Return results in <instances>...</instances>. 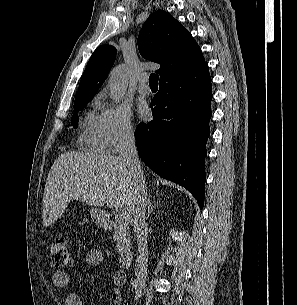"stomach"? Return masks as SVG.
I'll return each instance as SVG.
<instances>
[{
  "label": "stomach",
  "instance_id": "0dacf381",
  "mask_svg": "<svg viewBox=\"0 0 297 305\" xmlns=\"http://www.w3.org/2000/svg\"><path fill=\"white\" fill-rule=\"evenodd\" d=\"M90 214L96 223L101 224L103 222V212L98 208H92Z\"/></svg>",
  "mask_w": 297,
  "mask_h": 305
}]
</instances>
